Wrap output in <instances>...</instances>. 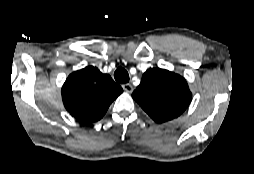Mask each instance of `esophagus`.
<instances>
[{"label":"esophagus","mask_w":254,"mask_h":174,"mask_svg":"<svg viewBox=\"0 0 254 174\" xmlns=\"http://www.w3.org/2000/svg\"><path fill=\"white\" fill-rule=\"evenodd\" d=\"M122 88L128 93H131L133 91V86L129 83L122 84Z\"/></svg>","instance_id":"obj_1"}]
</instances>
